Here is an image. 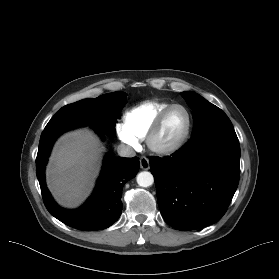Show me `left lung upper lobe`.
Listing matches in <instances>:
<instances>
[{
	"label": "left lung upper lobe",
	"mask_w": 279,
	"mask_h": 279,
	"mask_svg": "<svg viewBox=\"0 0 279 279\" xmlns=\"http://www.w3.org/2000/svg\"><path fill=\"white\" fill-rule=\"evenodd\" d=\"M181 95L193 111L192 137L212 130H234L227 115L217 106L194 92H183Z\"/></svg>",
	"instance_id": "1"
}]
</instances>
